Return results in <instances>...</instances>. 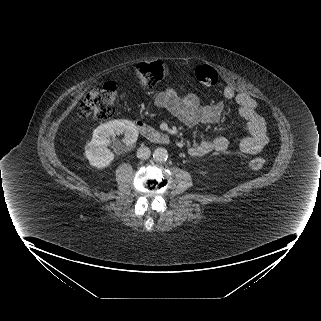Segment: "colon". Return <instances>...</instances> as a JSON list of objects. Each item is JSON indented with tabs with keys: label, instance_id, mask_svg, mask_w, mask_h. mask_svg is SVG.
Instances as JSON below:
<instances>
[{
	"label": "colon",
	"instance_id": "1",
	"mask_svg": "<svg viewBox=\"0 0 321 321\" xmlns=\"http://www.w3.org/2000/svg\"><path fill=\"white\" fill-rule=\"evenodd\" d=\"M135 76L144 87L151 88L165 80L168 68L162 61L143 62L135 67ZM197 80L208 87L218 83V73L212 66L200 65L195 70ZM119 93L113 82H106L101 88L87 94L77 109L79 117H92L96 120H107L114 115ZM265 165V159L256 157L249 162L252 170H260Z\"/></svg>",
	"mask_w": 321,
	"mask_h": 321
}]
</instances>
